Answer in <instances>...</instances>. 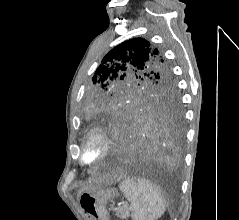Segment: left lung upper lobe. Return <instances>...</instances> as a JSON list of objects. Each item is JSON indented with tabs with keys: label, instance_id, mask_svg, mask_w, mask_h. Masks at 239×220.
<instances>
[{
	"label": "left lung upper lobe",
	"instance_id": "left-lung-upper-lobe-1",
	"mask_svg": "<svg viewBox=\"0 0 239 220\" xmlns=\"http://www.w3.org/2000/svg\"><path fill=\"white\" fill-rule=\"evenodd\" d=\"M82 116L95 122L105 110L181 112L173 72L161 50L143 38L113 48L97 67Z\"/></svg>",
	"mask_w": 239,
	"mask_h": 220
}]
</instances>
